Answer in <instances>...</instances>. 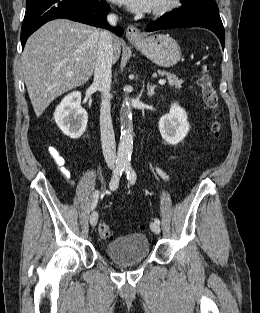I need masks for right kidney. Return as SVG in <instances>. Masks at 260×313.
<instances>
[{"label":"right kidney","mask_w":260,"mask_h":313,"mask_svg":"<svg viewBox=\"0 0 260 313\" xmlns=\"http://www.w3.org/2000/svg\"><path fill=\"white\" fill-rule=\"evenodd\" d=\"M59 129L71 139L80 138L86 130L88 115L81 106V93L72 92L65 96L54 112Z\"/></svg>","instance_id":"right-kidney-1"}]
</instances>
